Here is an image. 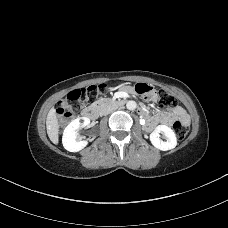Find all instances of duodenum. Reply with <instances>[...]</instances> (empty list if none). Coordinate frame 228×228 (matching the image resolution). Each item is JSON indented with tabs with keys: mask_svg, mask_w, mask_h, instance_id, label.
Returning a JSON list of instances; mask_svg holds the SVG:
<instances>
[{
	"mask_svg": "<svg viewBox=\"0 0 228 228\" xmlns=\"http://www.w3.org/2000/svg\"><path fill=\"white\" fill-rule=\"evenodd\" d=\"M125 100L120 99V98H115V99H111V100H102L100 102H98L97 104H95L94 106L85 108L82 111V117L86 120H96L99 115L101 114L102 109L105 106H109V105H113V106H123L125 104ZM159 120L157 118V116L151 117L146 119L145 122V126L149 127L151 125H153L154 123H157Z\"/></svg>",
	"mask_w": 228,
	"mask_h": 228,
	"instance_id": "1",
	"label": "duodenum"
}]
</instances>
